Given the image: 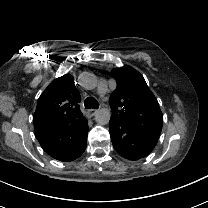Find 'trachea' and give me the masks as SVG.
<instances>
[{
	"mask_svg": "<svg viewBox=\"0 0 208 208\" xmlns=\"http://www.w3.org/2000/svg\"><path fill=\"white\" fill-rule=\"evenodd\" d=\"M84 106H85L86 109H90V108L98 109L99 108V103L95 98L88 97L84 101Z\"/></svg>",
	"mask_w": 208,
	"mask_h": 208,
	"instance_id": "1",
	"label": "trachea"
}]
</instances>
